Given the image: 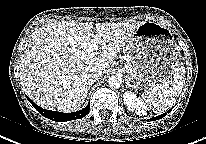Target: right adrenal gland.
Wrapping results in <instances>:
<instances>
[{
    "label": "right adrenal gland",
    "instance_id": "2a0ac1e0",
    "mask_svg": "<svg viewBox=\"0 0 206 144\" xmlns=\"http://www.w3.org/2000/svg\"><path fill=\"white\" fill-rule=\"evenodd\" d=\"M93 83H88V90H90V87L92 86Z\"/></svg>",
    "mask_w": 206,
    "mask_h": 144
}]
</instances>
